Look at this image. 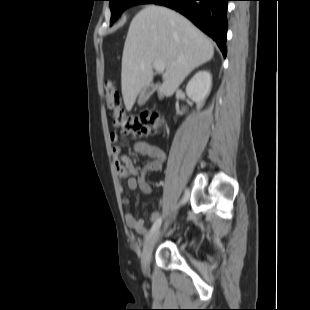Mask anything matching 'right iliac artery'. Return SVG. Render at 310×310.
<instances>
[{
  "mask_svg": "<svg viewBox=\"0 0 310 310\" xmlns=\"http://www.w3.org/2000/svg\"><path fill=\"white\" fill-rule=\"evenodd\" d=\"M188 197H189V191L188 189L185 190V194H184V197L183 199L181 200V203L180 204H184L187 200H188ZM162 223V217L160 216L155 222L154 224L152 225L149 233L146 235V239H148L153 233H155L158 228L160 227Z\"/></svg>",
  "mask_w": 310,
  "mask_h": 310,
  "instance_id": "obj_1",
  "label": "right iliac artery"
}]
</instances>
